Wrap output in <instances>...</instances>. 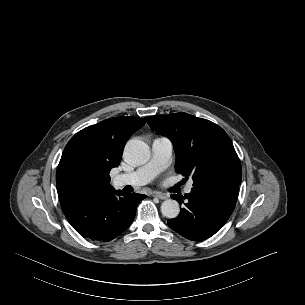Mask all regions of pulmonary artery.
<instances>
[{
	"instance_id": "obj_1",
	"label": "pulmonary artery",
	"mask_w": 305,
	"mask_h": 305,
	"mask_svg": "<svg viewBox=\"0 0 305 305\" xmlns=\"http://www.w3.org/2000/svg\"><path fill=\"white\" fill-rule=\"evenodd\" d=\"M172 154L173 144L170 139L164 136L156 137L152 142V156L150 161L133 172L117 175L113 180L114 186H142L149 183L168 167L172 160ZM192 187V183H189L185 187L184 192L189 194Z\"/></svg>"
}]
</instances>
